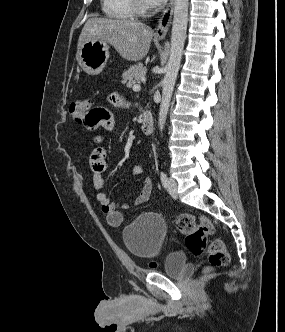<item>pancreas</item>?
I'll use <instances>...</instances> for the list:
<instances>
[{"mask_svg":"<svg viewBox=\"0 0 285 332\" xmlns=\"http://www.w3.org/2000/svg\"><path fill=\"white\" fill-rule=\"evenodd\" d=\"M145 73L146 69L142 63L132 65L123 72L122 84L130 88L134 83L139 82L145 76Z\"/></svg>","mask_w":285,"mask_h":332,"instance_id":"obj_1","label":"pancreas"}]
</instances>
